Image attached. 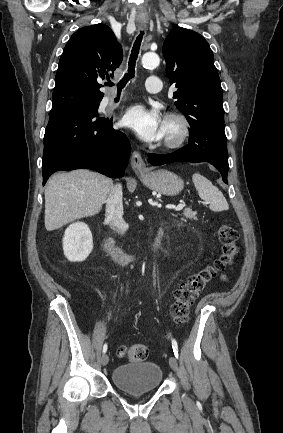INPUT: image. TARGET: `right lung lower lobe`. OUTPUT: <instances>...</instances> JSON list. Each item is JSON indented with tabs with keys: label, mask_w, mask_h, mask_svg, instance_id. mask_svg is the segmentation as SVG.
Returning <instances> with one entry per match:
<instances>
[{
	"label": "right lung lower lobe",
	"mask_w": 283,
	"mask_h": 433,
	"mask_svg": "<svg viewBox=\"0 0 283 433\" xmlns=\"http://www.w3.org/2000/svg\"><path fill=\"white\" fill-rule=\"evenodd\" d=\"M98 107L50 115L44 136L43 185L59 170L87 168L112 178L124 176L129 141L113 129L112 119L98 116Z\"/></svg>",
	"instance_id": "right-lung-lower-lobe-1"
}]
</instances>
